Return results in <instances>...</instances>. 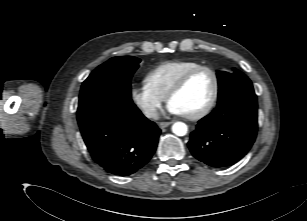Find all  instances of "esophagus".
Returning a JSON list of instances; mask_svg holds the SVG:
<instances>
[{
  "label": "esophagus",
  "mask_w": 307,
  "mask_h": 221,
  "mask_svg": "<svg viewBox=\"0 0 307 221\" xmlns=\"http://www.w3.org/2000/svg\"><path fill=\"white\" fill-rule=\"evenodd\" d=\"M173 122H160L158 125L161 129L168 127L171 125Z\"/></svg>",
  "instance_id": "1"
}]
</instances>
